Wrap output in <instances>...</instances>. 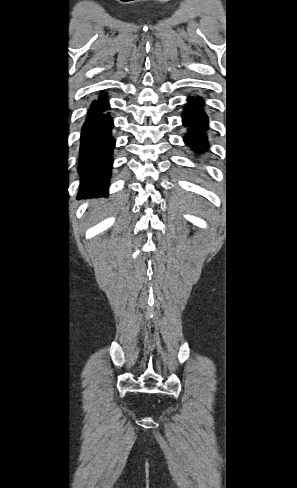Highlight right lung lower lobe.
<instances>
[{
  "label": "right lung lower lobe",
  "mask_w": 297,
  "mask_h": 488,
  "mask_svg": "<svg viewBox=\"0 0 297 488\" xmlns=\"http://www.w3.org/2000/svg\"><path fill=\"white\" fill-rule=\"evenodd\" d=\"M109 107L105 98L95 101L82 127L79 173L82 187L79 198L107 194L115 141L111 136L112 118L104 114Z\"/></svg>",
  "instance_id": "98d812e1"
}]
</instances>
